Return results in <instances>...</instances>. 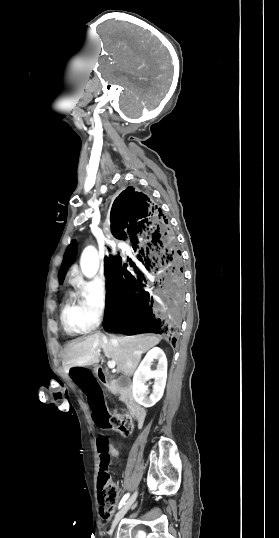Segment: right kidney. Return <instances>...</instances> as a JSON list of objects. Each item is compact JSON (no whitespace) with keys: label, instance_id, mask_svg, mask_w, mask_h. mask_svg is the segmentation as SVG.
Wrapping results in <instances>:
<instances>
[{"label":"right kidney","instance_id":"obj_1","mask_svg":"<svg viewBox=\"0 0 279 538\" xmlns=\"http://www.w3.org/2000/svg\"><path fill=\"white\" fill-rule=\"evenodd\" d=\"M157 360V370L152 372V362ZM154 378L153 392L148 396V386H145L148 380ZM167 378V358L161 348H152L142 360L138 370L133 376V396L144 408H151L163 396Z\"/></svg>","mask_w":279,"mask_h":538}]
</instances>
